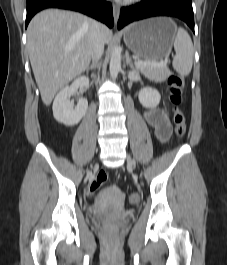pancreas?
Segmentation results:
<instances>
[{"instance_id":"1","label":"pancreas","mask_w":227,"mask_h":265,"mask_svg":"<svg viewBox=\"0 0 227 265\" xmlns=\"http://www.w3.org/2000/svg\"><path fill=\"white\" fill-rule=\"evenodd\" d=\"M138 69L142 72V74L145 75V77L154 80L156 82L165 81L172 74V72L169 70L167 66L164 67L144 66V67H139Z\"/></svg>"}]
</instances>
